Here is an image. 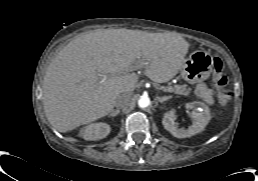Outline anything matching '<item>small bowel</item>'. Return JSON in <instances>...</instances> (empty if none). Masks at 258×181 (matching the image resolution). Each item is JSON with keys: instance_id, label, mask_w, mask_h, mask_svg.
<instances>
[{"instance_id": "c3829d8e", "label": "small bowel", "mask_w": 258, "mask_h": 181, "mask_svg": "<svg viewBox=\"0 0 258 181\" xmlns=\"http://www.w3.org/2000/svg\"><path fill=\"white\" fill-rule=\"evenodd\" d=\"M195 95L209 104L213 103V92L205 84H199L195 88Z\"/></svg>"}]
</instances>
